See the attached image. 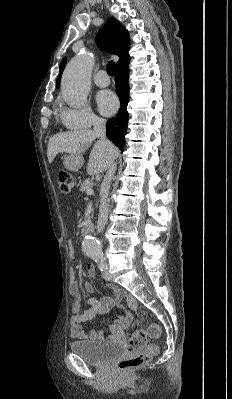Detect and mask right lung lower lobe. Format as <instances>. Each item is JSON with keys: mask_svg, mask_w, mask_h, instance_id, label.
<instances>
[{"mask_svg": "<svg viewBox=\"0 0 232 399\" xmlns=\"http://www.w3.org/2000/svg\"><path fill=\"white\" fill-rule=\"evenodd\" d=\"M129 60L116 66L115 83L116 92L119 96L121 107L116 117L111 118L106 124V135L117 147L123 151L125 146V134L127 132L128 112L127 104L129 101Z\"/></svg>", "mask_w": 232, "mask_h": 399, "instance_id": "right-lung-lower-lobe-1", "label": "right lung lower lobe"}]
</instances>
